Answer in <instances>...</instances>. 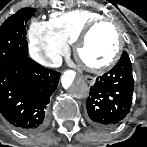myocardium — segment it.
<instances>
[{"label":"myocardium","mask_w":147,"mask_h":147,"mask_svg":"<svg viewBox=\"0 0 147 147\" xmlns=\"http://www.w3.org/2000/svg\"><path fill=\"white\" fill-rule=\"evenodd\" d=\"M103 26L115 27L112 23H110L108 20H105V19L93 22L85 27V29L80 33V35L74 42V46H73L74 56L76 60L79 62V64L81 65V67L93 73L102 72L112 67L115 64V62L118 60L122 47H123L122 36L120 33H118L116 47L114 51L112 52V54L104 62L90 63L84 59L82 55V51L90 35L94 32V30H96L99 27H103Z\"/></svg>","instance_id":"myocardium-1"}]
</instances>
